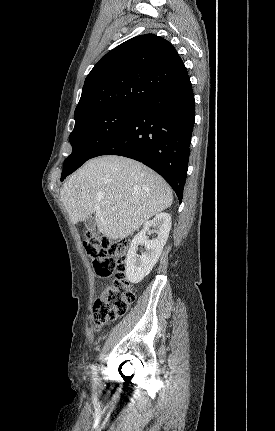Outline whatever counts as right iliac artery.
I'll list each match as a JSON object with an SVG mask.
<instances>
[{"label": "right iliac artery", "instance_id": "1", "mask_svg": "<svg viewBox=\"0 0 275 431\" xmlns=\"http://www.w3.org/2000/svg\"><path fill=\"white\" fill-rule=\"evenodd\" d=\"M93 374L96 375V368L95 367L93 368Z\"/></svg>", "mask_w": 275, "mask_h": 431}]
</instances>
